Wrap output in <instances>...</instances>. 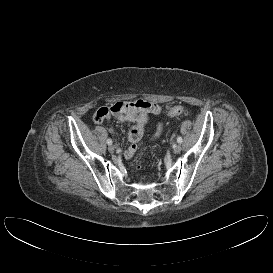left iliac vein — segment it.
Listing matches in <instances>:
<instances>
[{
	"instance_id": "4c4485c4",
	"label": "left iliac vein",
	"mask_w": 273,
	"mask_h": 273,
	"mask_svg": "<svg viewBox=\"0 0 273 273\" xmlns=\"http://www.w3.org/2000/svg\"><path fill=\"white\" fill-rule=\"evenodd\" d=\"M181 150H182V147H181V145H180V144H176V145H174V147H173V152H174L175 154L180 153V152H181Z\"/></svg>"
}]
</instances>
